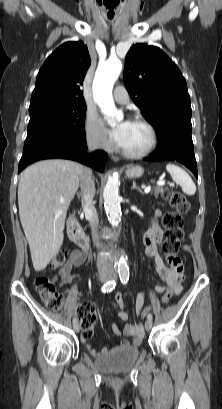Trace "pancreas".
Here are the masks:
<instances>
[{
  "mask_svg": "<svg viewBox=\"0 0 222 409\" xmlns=\"http://www.w3.org/2000/svg\"><path fill=\"white\" fill-rule=\"evenodd\" d=\"M164 192V190H163V188H161V187H156L155 189H154V191H153V194L155 195V196H158L160 193H163Z\"/></svg>",
  "mask_w": 222,
  "mask_h": 409,
  "instance_id": "obj_1",
  "label": "pancreas"
}]
</instances>
